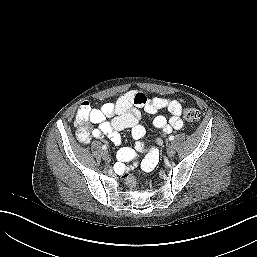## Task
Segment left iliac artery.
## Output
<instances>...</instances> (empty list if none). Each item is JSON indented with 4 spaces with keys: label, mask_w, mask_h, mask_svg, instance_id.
Segmentation results:
<instances>
[{
    "label": "left iliac artery",
    "mask_w": 257,
    "mask_h": 257,
    "mask_svg": "<svg viewBox=\"0 0 257 257\" xmlns=\"http://www.w3.org/2000/svg\"><path fill=\"white\" fill-rule=\"evenodd\" d=\"M173 140H174V136L173 135L169 136V141H173Z\"/></svg>",
    "instance_id": "1"
}]
</instances>
